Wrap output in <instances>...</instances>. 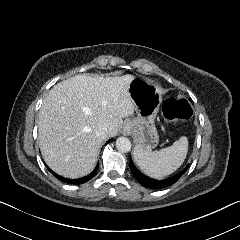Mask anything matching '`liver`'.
Masks as SVG:
<instances>
[{
	"mask_svg": "<svg viewBox=\"0 0 240 240\" xmlns=\"http://www.w3.org/2000/svg\"><path fill=\"white\" fill-rule=\"evenodd\" d=\"M133 75L92 77L78 74L56 84L39 110L38 140L46 164L67 178L88 175L96 166L104 139L100 125L113 137L123 118L134 114L129 93Z\"/></svg>",
	"mask_w": 240,
	"mask_h": 240,
	"instance_id": "liver-1",
	"label": "liver"
}]
</instances>
